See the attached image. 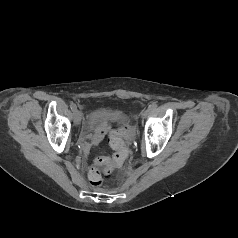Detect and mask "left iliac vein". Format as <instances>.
I'll use <instances>...</instances> for the list:
<instances>
[{"label":"left iliac vein","mask_w":238,"mask_h":238,"mask_svg":"<svg viewBox=\"0 0 238 238\" xmlns=\"http://www.w3.org/2000/svg\"><path fill=\"white\" fill-rule=\"evenodd\" d=\"M148 112H149V110L143 111V112L141 113V117L144 119V118L147 116Z\"/></svg>","instance_id":"4c4485c4"}]
</instances>
